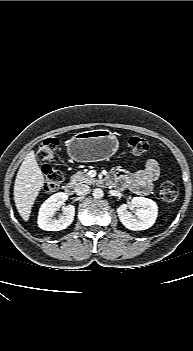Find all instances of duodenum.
Segmentation results:
<instances>
[{
	"instance_id": "obj_1",
	"label": "duodenum",
	"mask_w": 193,
	"mask_h": 351,
	"mask_svg": "<svg viewBox=\"0 0 193 351\" xmlns=\"http://www.w3.org/2000/svg\"><path fill=\"white\" fill-rule=\"evenodd\" d=\"M66 191L69 193V194H72L74 192V183L73 182H68L66 184Z\"/></svg>"
}]
</instances>
